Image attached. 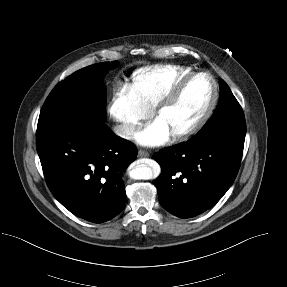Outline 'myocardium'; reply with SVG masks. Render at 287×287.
<instances>
[{
  "mask_svg": "<svg viewBox=\"0 0 287 287\" xmlns=\"http://www.w3.org/2000/svg\"><path fill=\"white\" fill-rule=\"evenodd\" d=\"M197 77H206L210 81L212 89L210 100L206 108L196 118L194 122H192L190 125L183 129L176 130L170 133L171 137L174 140H184L190 137L191 135L196 133L211 116L218 101V86L213 76L206 72H191L190 74L184 76L178 82H176L151 110V116L157 119L163 111H165L175 103V101L177 100L183 89L187 86V84Z\"/></svg>",
  "mask_w": 287,
  "mask_h": 287,
  "instance_id": "myocardium-1",
  "label": "myocardium"
}]
</instances>
